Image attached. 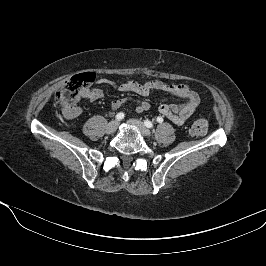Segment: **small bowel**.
Wrapping results in <instances>:
<instances>
[{
	"label": "small bowel",
	"instance_id": "c3829d8e",
	"mask_svg": "<svg viewBox=\"0 0 266 266\" xmlns=\"http://www.w3.org/2000/svg\"><path fill=\"white\" fill-rule=\"evenodd\" d=\"M98 85H108L120 92H131L141 96H148L154 91H163L179 98L184 102L182 104H162L159 106V113L176 125H182L187 122L194 114L201 103V97L189 85L185 83L172 84L161 80H150L144 83L129 80L124 83H116L108 79H98ZM103 90L99 87L86 88L83 96L90 102H94L103 97ZM136 102V112L142 113L150 108L146 101L134 100L131 97H125L114 100L111 104L113 109H118L124 104ZM67 118H75L81 114V108L74 107L70 112L63 110Z\"/></svg>",
	"mask_w": 266,
	"mask_h": 266
}]
</instances>
